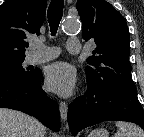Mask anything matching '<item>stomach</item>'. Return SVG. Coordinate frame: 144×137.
<instances>
[{
	"mask_svg": "<svg viewBox=\"0 0 144 137\" xmlns=\"http://www.w3.org/2000/svg\"><path fill=\"white\" fill-rule=\"evenodd\" d=\"M89 137H109V133L106 129L100 128L92 131Z\"/></svg>",
	"mask_w": 144,
	"mask_h": 137,
	"instance_id": "obj_1",
	"label": "stomach"
}]
</instances>
